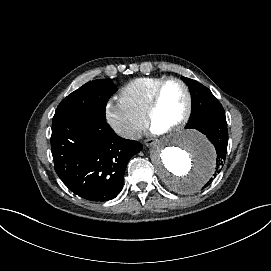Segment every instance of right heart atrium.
<instances>
[{
    "instance_id": "d8ad5b80",
    "label": "right heart atrium",
    "mask_w": 271,
    "mask_h": 271,
    "mask_svg": "<svg viewBox=\"0 0 271 271\" xmlns=\"http://www.w3.org/2000/svg\"><path fill=\"white\" fill-rule=\"evenodd\" d=\"M106 122L124 139L136 140L147 127L145 116L133 112L120 97L108 99L104 105Z\"/></svg>"
}]
</instances>
